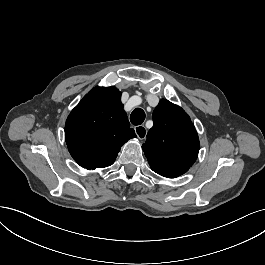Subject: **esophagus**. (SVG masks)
Masks as SVG:
<instances>
[{"mask_svg":"<svg viewBox=\"0 0 265 265\" xmlns=\"http://www.w3.org/2000/svg\"><path fill=\"white\" fill-rule=\"evenodd\" d=\"M135 134L140 140H143L146 138L147 135V128L143 125H138L134 127Z\"/></svg>","mask_w":265,"mask_h":265,"instance_id":"esophagus-1","label":"esophagus"}]
</instances>
